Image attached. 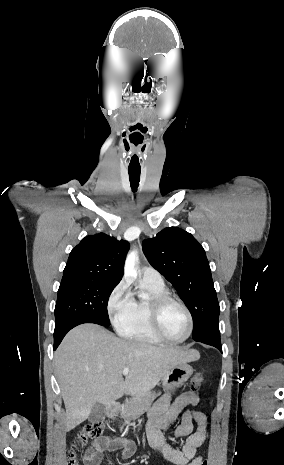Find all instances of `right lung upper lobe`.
<instances>
[{
  "label": "right lung upper lobe",
  "mask_w": 284,
  "mask_h": 465,
  "mask_svg": "<svg viewBox=\"0 0 284 465\" xmlns=\"http://www.w3.org/2000/svg\"><path fill=\"white\" fill-rule=\"evenodd\" d=\"M130 244L104 233L85 237L70 252L62 279L90 278L118 284Z\"/></svg>",
  "instance_id": "1"
}]
</instances>
